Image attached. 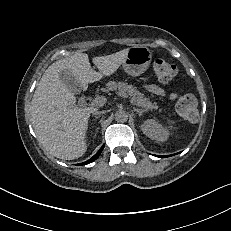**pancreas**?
I'll list each match as a JSON object with an SVG mask.
<instances>
[{
  "label": "pancreas",
  "mask_w": 231,
  "mask_h": 231,
  "mask_svg": "<svg viewBox=\"0 0 231 231\" xmlns=\"http://www.w3.org/2000/svg\"><path fill=\"white\" fill-rule=\"evenodd\" d=\"M106 89L110 91L118 90L119 92L127 93L128 95L131 96V101L135 105L144 108L145 111L158 109L156 103L151 102L148 98L144 96L143 93L138 91L136 87H133L132 85H128L127 83L110 81L107 83ZM159 111H161V109H159Z\"/></svg>",
  "instance_id": "1"
}]
</instances>
